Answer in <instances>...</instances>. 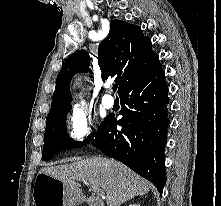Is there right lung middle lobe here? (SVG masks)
Masks as SVG:
<instances>
[{
    "instance_id": "obj_1",
    "label": "right lung middle lobe",
    "mask_w": 221,
    "mask_h": 206,
    "mask_svg": "<svg viewBox=\"0 0 221 206\" xmlns=\"http://www.w3.org/2000/svg\"><path fill=\"white\" fill-rule=\"evenodd\" d=\"M70 108L71 107L59 108L48 114L44 135L45 141L42 152V160H48L54 154L62 150L82 147L89 143L96 135L97 132L94 131L83 142L74 141L69 137L66 128V114ZM105 120L106 118L101 122L100 126L105 122Z\"/></svg>"
}]
</instances>
